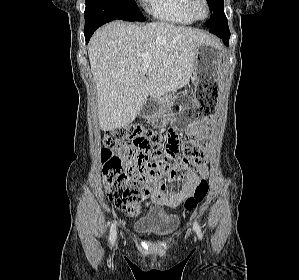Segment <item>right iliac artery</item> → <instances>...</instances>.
<instances>
[{"label":"right iliac artery","mask_w":299,"mask_h":280,"mask_svg":"<svg viewBox=\"0 0 299 280\" xmlns=\"http://www.w3.org/2000/svg\"><path fill=\"white\" fill-rule=\"evenodd\" d=\"M109 240H110L111 245H114L115 240H116V224L115 223H113L111 225Z\"/></svg>","instance_id":"1"}]
</instances>
